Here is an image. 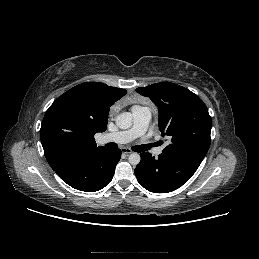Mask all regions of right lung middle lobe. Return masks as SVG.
Segmentation results:
<instances>
[{
	"label": "right lung middle lobe",
	"instance_id": "dd1d6c3e",
	"mask_svg": "<svg viewBox=\"0 0 259 259\" xmlns=\"http://www.w3.org/2000/svg\"><path fill=\"white\" fill-rule=\"evenodd\" d=\"M47 137L57 143L69 142L73 135L70 127L62 123H54L47 130Z\"/></svg>",
	"mask_w": 259,
	"mask_h": 259
}]
</instances>
